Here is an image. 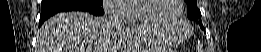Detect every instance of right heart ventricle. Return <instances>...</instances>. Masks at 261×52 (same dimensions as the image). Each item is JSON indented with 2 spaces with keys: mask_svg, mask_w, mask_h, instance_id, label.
<instances>
[{
  "mask_svg": "<svg viewBox=\"0 0 261 52\" xmlns=\"http://www.w3.org/2000/svg\"><path fill=\"white\" fill-rule=\"evenodd\" d=\"M136 4H137L136 2H132L128 5H124L123 9L132 12L135 10ZM142 22H146V21L139 15V16L132 17L131 21L128 22V24H138V23H142Z\"/></svg>",
  "mask_w": 261,
  "mask_h": 52,
  "instance_id": "e07e8e85",
  "label": "right heart ventricle"
}]
</instances>
